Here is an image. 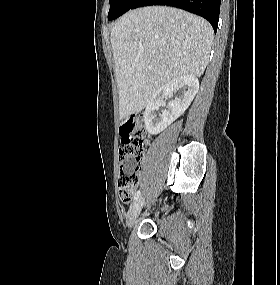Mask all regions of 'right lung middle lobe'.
<instances>
[{"mask_svg": "<svg viewBox=\"0 0 280 285\" xmlns=\"http://www.w3.org/2000/svg\"><path fill=\"white\" fill-rule=\"evenodd\" d=\"M137 0H110L108 20H113L133 7Z\"/></svg>", "mask_w": 280, "mask_h": 285, "instance_id": "1", "label": "right lung middle lobe"}]
</instances>
